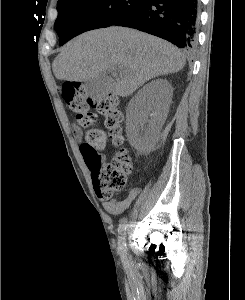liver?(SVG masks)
I'll return each instance as SVG.
<instances>
[{
  "label": "liver",
  "instance_id": "obj_1",
  "mask_svg": "<svg viewBox=\"0 0 245 300\" xmlns=\"http://www.w3.org/2000/svg\"><path fill=\"white\" fill-rule=\"evenodd\" d=\"M185 55L171 43L125 27L86 32L70 41L54 59L55 77L86 82L118 68L113 94L132 95L152 78L183 69Z\"/></svg>",
  "mask_w": 245,
  "mask_h": 300
}]
</instances>
